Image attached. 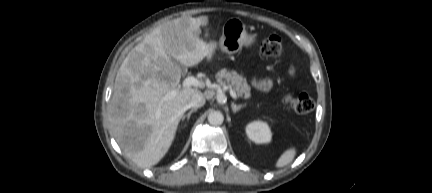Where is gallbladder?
<instances>
[{"mask_svg":"<svg viewBox=\"0 0 432 193\" xmlns=\"http://www.w3.org/2000/svg\"><path fill=\"white\" fill-rule=\"evenodd\" d=\"M172 61L175 65L179 66V63L176 60H172Z\"/></svg>","mask_w":432,"mask_h":193,"instance_id":"obj_1","label":"gallbladder"}]
</instances>
